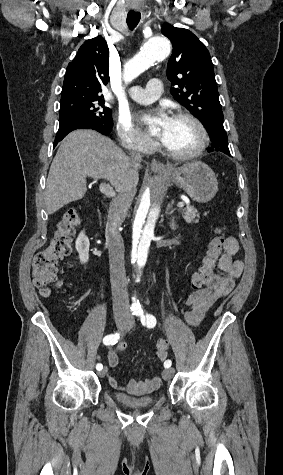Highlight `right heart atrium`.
<instances>
[{
  "label": "right heart atrium",
  "instance_id": "right-heart-atrium-1",
  "mask_svg": "<svg viewBox=\"0 0 283 475\" xmlns=\"http://www.w3.org/2000/svg\"><path fill=\"white\" fill-rule=\"evenodd\" d=\"M114 130L119 137L122 152L144 156L151 152V138L138 131L129 117L119 116L115 121Z\"/></svg>",
  "mask_w": 283,
  "mask_h": 475
}]
</instances>
